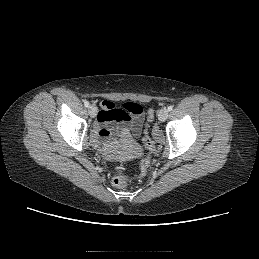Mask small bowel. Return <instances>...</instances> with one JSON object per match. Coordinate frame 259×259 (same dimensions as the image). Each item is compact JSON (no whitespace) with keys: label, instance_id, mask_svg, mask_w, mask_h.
Returning <instances> with one entry per match:
<instances>
[{"label":"small bowel","instance_id":"c3829d8e","mask_svg":"<svg viewBox=\"0 0 259 259\" xmlns=\"http://www.w3.org/2000/svg\"><path fill=\"white\" fill-rule=\"evenodd\" d=\"M130 105L136 106L137 111H132ZM142 120L143 108L138 103L129 102L117 106L112 101H103L97 115V143L106 145L111 137L127 138L130 134L138 137Z\"/></svg>","mask_w":259,"mask_h":259}]
</instances>
